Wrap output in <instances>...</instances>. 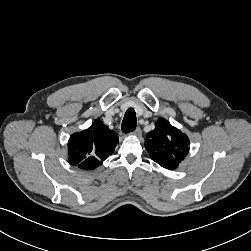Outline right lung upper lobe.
<instances>
[{
  "instance_id": "1",
  "label": "right lung upper lobe",
  "mask_w": 251,
  "mask_h": 251,
  "mask_svg": "<svg viewBox=\"0 0 251 251\" xmlns=\"http://www.w3.org/2000/svg\"><path fill=\"white\" fill-rule=\"evenodd\" d=\"M117 144L118 135L97 119L88 129L71 135L69 161L81 169H94L113 153Z\"/></svg>"
}]
</instances>
